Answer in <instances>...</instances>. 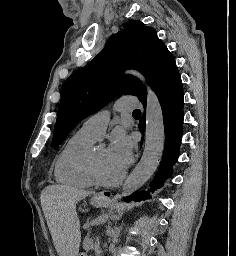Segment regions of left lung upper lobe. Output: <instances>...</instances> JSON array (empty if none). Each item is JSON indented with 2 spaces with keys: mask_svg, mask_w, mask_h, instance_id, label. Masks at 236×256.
<instances>
[{
  "mask_svg": "<svg viewBox=\"0 0 236 256\" xmlns=\"http://www.w3.org/2000/svg\"><path fill=\"white\" fill-rule=\"evenodd\" d=\"M126 69L139 70L154 89L177 68L174 57L153 28L137 20L126 22L92 61L65 82L54 126V149L78 122L114 98L123 94L140 100L146 96L138 78L123 75Z\"/></svg>",
  "mask_w": 236,
  "mask_h": 256,
  "instance_id": "left-lung-upper-lobe-1",
  "label": "left lung upper lobe"
}]
</instances>
